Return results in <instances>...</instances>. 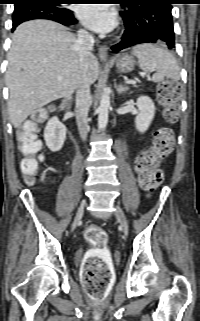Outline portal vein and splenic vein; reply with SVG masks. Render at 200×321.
I'll use <instances>...</instances> for the list:
<instances>
[{
  "label": "portal vein and splenic vein",
  "instance_id": "1",
  "mask_svg": "<svg viewBox=\"0 0 200 321\" xmlns=\"http://www.w3.org/2000/svg\"><path fill=\"white\" fill-rule=\"evenodd\" d=\"M142 75H145V74H142ZM58 80L61 81L62 77H58ZM136 82H137L136 80H129V79L125 80V83L127 84H136Z\"/></svg>",
  "mask_w": 200,
  "mask_h": 321
}]
</instances>
